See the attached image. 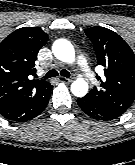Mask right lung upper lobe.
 <instances>
[{
  "label": "right lung upper lobe",
  "mask_w": 135,
  "mask_h": 165,
  "mask_svg": "<svg viewBox=\"0 0 135 165\" xmlns=\"http://www.w3.org/2000/svg\"><path fill=\"white\" fill-rule=\"evenodd\" d=\"M48 36L37 27H23L0 43V105L19 97H42L53 86L34 79L37 53Z\"/></svg>",
  "instance_id": "cb5924a9"
}]
</instances>
